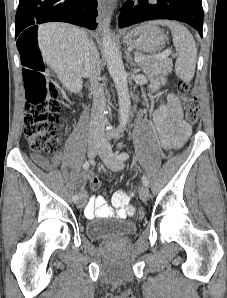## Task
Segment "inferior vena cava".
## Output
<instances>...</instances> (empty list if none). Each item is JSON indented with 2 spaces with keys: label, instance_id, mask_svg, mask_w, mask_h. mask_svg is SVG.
I'll list each match as a JSON object with an SVG mask.
<instances>
[{
  "label": "inferior vena cava",
  "instance_id": "inferior-vena-cava-1",
  "mask_svg": "<svg viewBox=\"0 0 227 298\" xmlns=\"http://www.w3.org/2000/svg\"><path fill=\"white\" fill-rule=\"evenodd\" d=\"M84 72L88 75L91 82V91L93 94L92 115L90 123V139L101 142L104 138V131L107 119L103 114L106 105L104 89L98 83V77L101 73V63L99 52L93 43L88 41L83 54Z\"/></svg>",
  "mask_w": 227,
  "mask_h": 298
}]
</instances>
